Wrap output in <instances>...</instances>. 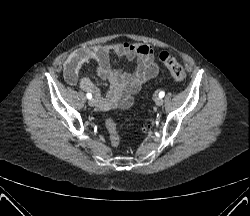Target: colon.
Returning <instances> with one entry per match:
<instances>
[{
  "mask_svg": "<svg viewBox=\"0 0 250 216\" xmlns=\"http://www.w3.org/2000/svg\"><path fill=\"white\" fill-rule=\"evenodd\" d=\"M160 62L169 70L171 76L177 81H183L186 78V73L181 64L168 52H161L159 54ZM104 125L109 134V140L113 147H117L120 143V136L117 125L110 117H105ZM152 122L148 121L144 124L143 129L147 131L151 128Z\"/></svg>",
  "mask_w": 250,
  "mask_h": 216,
  "instance_id": "obj_1",
  "label": "colon"
}]
</instances>
